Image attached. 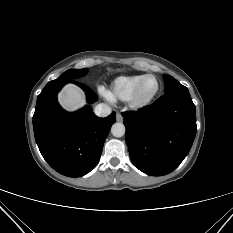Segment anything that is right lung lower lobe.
<instances>
[{"label":"right lung lower lobe","instance_id":"98d812e1","mask_svg":"<svg viewBox=\"0 0 233 233\" xmlns=\"http://www.w3.org/2000/svg\"><path fill=\"white\" fill-rule=\"evenodd\" d=\"M87 93L88 103L97 100L86 85L71 81ZM68 82H49L39 94L33 128L36 143L46 162L57 172L69 177H80L98 163L105 139L116 115L97 117L87 105L68 113L57 102V92Z\"/></svg>","mask_w":233,"mask_h":233}]
</instances>
